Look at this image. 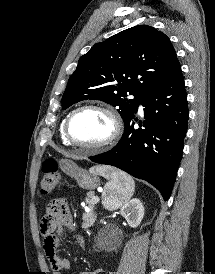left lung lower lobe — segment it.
<instances>
[{"instance_id": "1", "label": "left lung lower lobe", "mask_w": 215, "mask_h": 274, "mask_svg": "<svg viewBox=\"0 0 215 274\" xmlns=\"http://www.w3.org/2000/svg\"><path fill=\"white\" fill-rule=\"evenodd\" d=\"M142 105L143 122L134 128L135 113ZM125 121L118 144L105 153L89 157L100 164L118 167L155 186L168 200L183 152L187 132V94L181 68L167 81L150 89Z\"/></svg>"}]
</instances>
